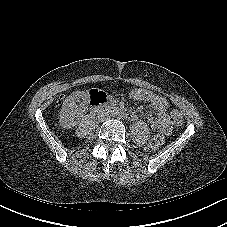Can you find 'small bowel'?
Instances as JSON below:
<instances>
[{"label":"small bowel","mask_w":227,"mask_h":227,"mask_svg":"<svg viewBox=\"0 0 227 227\" xmlns=\"http://www.w3.org/2000/svg\"><path fill=\"white\" fill-rule=\"evenodd\" d=\"M130 97L133 100L144 101L151 104L156 112V117H150L148 122L154 131L163 132L165 134H169L171 132L168 102L163 96L157 95L146 89L138 88L130 92Z\"/></svg>","instance_id":"c3829d8e"}]
</instances>
